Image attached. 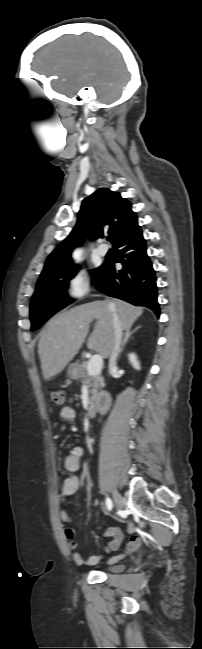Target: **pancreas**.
Returning a JSON list of instances; mask_svg holds the SVG:
<instances>
[{
  "mask_svg": "<svg viewBox=\"0 0 202 649\" xmlns=\"http://www.w3.org/2000/svg\"><path fill=\"white\" fill-rule=\"evenodd\" d=\"M87 365V362H83L82 364L77 365V379L81 382H86L88 388L90 389L91 397L89 399V410L92 411L95 408V402L99 396L98 389L104 387L105 384L104 379L100 373L94 376L88 375Z\"/></svg>",
  "mask_w": 202,
  "mask_h": 649,
  "instance_id": "cf45deb5",
  "label": "pancreas"
}]
</instances>
